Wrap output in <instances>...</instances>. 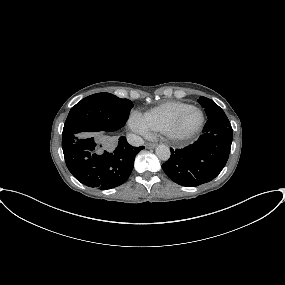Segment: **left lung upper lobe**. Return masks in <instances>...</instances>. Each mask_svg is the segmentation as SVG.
Listing matches in <instances>:
<instances>
[{
  "instance_id": "obj_1",
  "label": "left lung upper lobe",
  "mask_w": 285,
  "mask_h": 285,
  "mask_svg": "<svg viewBox=\"0 0 285 285\" xmlns=\"http://www.w3.org/2000/svg\"><path fill=\"white\" fill-rule=\"evenodd\" d=\"M198 102L201 104L202 107L205 108V112L207 118H211L213 116H222L225 115L222 108H220L214 101L208 99L206 97L201 96L198 99Z\"/></svg>"
}]
</instances>
